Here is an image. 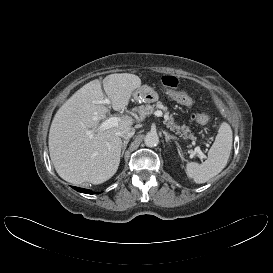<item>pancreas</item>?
Segmentation results:
<instances>
[{
    "label": "pancreas",
    "mask_w": 273,
    "mask_h": 273,
    "mask_svg": "<svg viewBox=\"0 0 273 273\" xmlns=\"http://www.w3.org/2000/svg\"><path fill=\"white\" fill-rule=\"evenodd\" d=\"M155 107L165 111L163 123L167 126V128H169L175 134L185 139H192V140L195 139L194 135L190 133L187 127L179 126L174 122L173 116L169 114V112L167 111V107L163 106L162 102H157L156 105H150V104L141 105L138 108V112L144 115H149L153 113Z\"/></svg>",
    "instance_id": "pancreas-1"
}]
</instances>
